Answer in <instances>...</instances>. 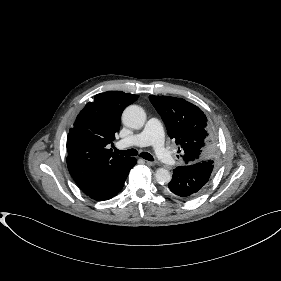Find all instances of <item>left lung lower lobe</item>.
<instances>
[{"label": "left lung lower lobe", "instance_id": "left-lung-lower-lobe-1", "mask_svg": "<svg viewBox=\"0 0 281 281\" xmlns=\"http://www.w3.org/2000/svg\"><path fill=\"white\" fill-rule=\"evenodd\" d=\"M215 162L203 160L191 165L179 166L173 170L169 190L174 196L182 199H190L198 195L209 182Z\"/></svg>", "mask_w": 281, "mask_h": 281}]
</instances>
